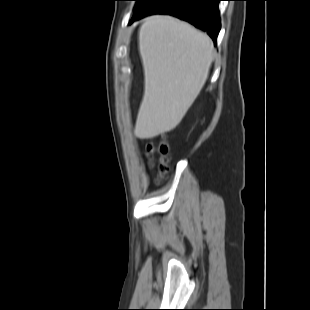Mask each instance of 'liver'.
<instances>
[{"instance_id": "liver-1", "label": "liver", "mask_w": 310, "mask_h": 310, "mask_svg": "<svg viewBox=\"0 0 310 310\" xmlns=\"http://www.w3.org/2000/svg\"><path fill=\"white\" fill-rule=\"evenodd\" d=\"M139 51L145 83L134 133L149 139L181 122L208 78L214 46L188 23L155 15L140 27Z\"/></svg>"}]
</instances>
